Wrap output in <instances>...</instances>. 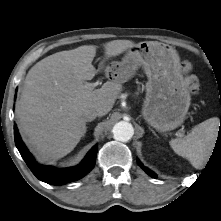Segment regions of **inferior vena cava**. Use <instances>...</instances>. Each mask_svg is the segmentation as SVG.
<instances>
[{
    "label": "inferior vena cava",
    "instance_id": "1",
    "mask_svg": "<svg viewBox=\"0 0 221 221\" xmlns=\"http://www.w3.org/2000/svg\"><path fill=\"white\" fill-rule=\"evenodd\" d=\"M99 116V109L96 107L87 108L83 111V118L86 122H90Z\"/></svg>",
    "mask_w": 221,
    "mask_h": 221
}]
</instances>
